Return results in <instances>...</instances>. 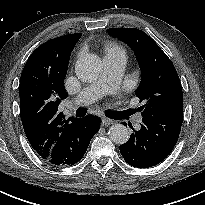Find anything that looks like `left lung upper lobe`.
<instances>
[{
  "label": "left lung upper lobe",
  "instance_id": "1",
  "mask_svg": "<svg viewBox=\"0 0 205 205\" xmlns=\"http://www.w3.org/2000/svg\"><path fill=\"white\" fill-rule=\"evenodd\" d=\"M108 31L134 51L141 69V83L136 91L145 104L142 117L183 113V93L177 71L169 57L145 32L136 28H110Z\"/></svg>",
  "mask_w": 205,
  "mask_h": 205
}]
</instances>
